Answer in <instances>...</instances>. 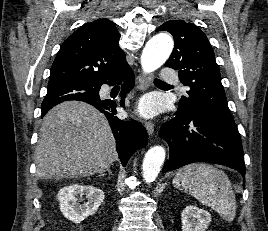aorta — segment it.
I'll use <instances>...</instances> for the list:
<instances>
[{"instance_id": "obj_1", "label": "aorta", "mask_w": 268, "mask_h": 231, "mask_svg": "<svg viewBox=\"0 0 268 231\" xmlns=\"http://www.w3.org/2000/svg\"><path fill=\"white\" fill-rule=\"evenodd\" d=\"M174 47L170 35L161 33L153 36L145 45L141 55V66L145 73L153 72L169 58ZM165 149L162 146L151 147L145 154L142 169L147 183L155 181L165 160Z\"/></svg>"}]
</instances>
